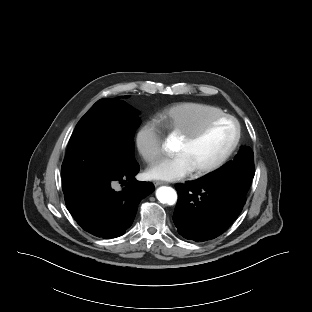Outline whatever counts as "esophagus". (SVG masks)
Masks as SVG:
<instances>
[{
    "mask_svg": "<svg viewBox=\"0 0 312 312\" xmlns=\"http://www.w3.org/2000/svg\"><path fill=\"white\" fill-rule=\"evenodd\" d=\"M167 183L166 182H163V181H154V185L155 186H160V185H166Z\"/></svg>",
    "mask_w": 312,
    "mask_h": 312,
    "instance_id": "esophagus-1",
    "label": "esophagus"
}]
</instances>
